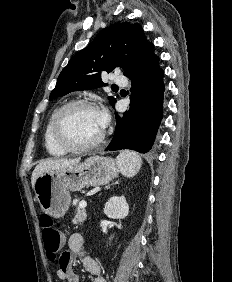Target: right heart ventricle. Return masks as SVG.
Segmentation results:
<instances>
[{"label": "right heart ventricle", "instance_id": "obj_1", "mask_svg": "<svg viewBox=\"0 0 232 282\" xmlns=\"http://www.w3.org/2000/svg\"><path fill=\"white\" fill-rule=\"evenodd\" d=\"M57 111L58 109H56L50 116L44 132L45 148L47 152L54 157L64 156L68 152L55 143L51 134L52 121Z\"/></svg>", "mask_w": 232, "mask_h": 282}]
</instances>
